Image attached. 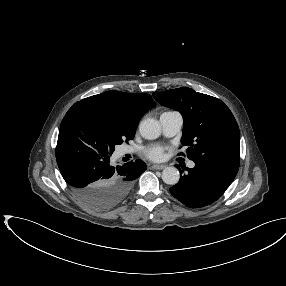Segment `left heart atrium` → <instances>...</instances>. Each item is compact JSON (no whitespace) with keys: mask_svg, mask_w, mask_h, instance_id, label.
<instances>
[{"mask_svg":"<svg viewBox=\"0 0 286 286\" xmlns=\"http://www.w3.org/2000/svg\"><path fill=\"white\" fill-rule=\"evenodd\" d=\"M164 147L151 146L146 150V156L152 161H160L164 158Z\"/></svg>","mask_w":286,"mask_h":286,"instance_id":"left-heart-atrium-1","label":"left heart atrium"}]
</instances>
